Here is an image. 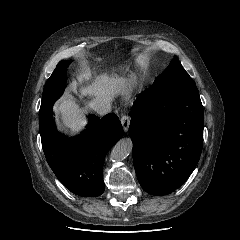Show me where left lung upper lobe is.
Instances as JSON below:
<instances>
[{"instance_id":"1","label":"left lung upper lobe","mask_w":240,"mask_h":240,"mask_svg":"<svg viewBox=\"0 0 240 240\" xmlns=\"http://www.w3.org/2000/svg\"><path fill=\"white\" fill-rule=\"evenodd\" d=\"M167 83L196 85L194 80L185 71L177 57H174L168 68L155 79L153 85H161Z\"/></svg>"}]
</instances>
